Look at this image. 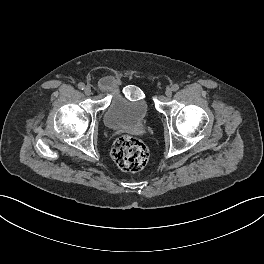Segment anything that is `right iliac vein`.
<instances>
[{"instance_id":"obj_1","label":"right iliac vein","mask_w":264,"mask_h":264,"mask_svg":"<svg viewBox=\"0 0 264 264\" xmlns=\"http://www.w3.org/2000/svg\"><path fill=\"white\" fill-rule=\"evenodd\" d=\"M91 92H92V90H91V88H90L89 86H86V87L84 88V93H85L86 95H90Z\"/></svg>"}]
</instances>
